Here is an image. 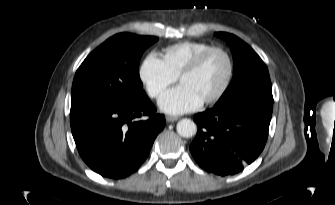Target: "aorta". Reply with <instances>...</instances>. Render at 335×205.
<instances>
[{
  "label": "aorta",
  "mask_w": 335,
  "mask_h": 205,
  "mask_svg": "<svg viewBox=\"0 0 335 205\" xmlns=\"http://www.w3.org/2000/svg\"><path fill=\"white\" fill-rule=\"evenodd\" d=\"M177 132L180 136L184 138H190L194 136L197 132L196 124L191 119H181L177 123Z\"/></svg>",
  "instance_id": "1"
}]
</instances>
